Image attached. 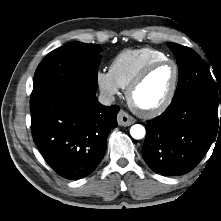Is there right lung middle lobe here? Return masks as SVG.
<instances>
[{
	"label": "right lung middle lobe",
	"mask_w": 221,
	"mask_h": 221,
	"mask_svg": "<svg viewBox=\"0 0 221 221\" xmlns=\"http://www.w3.org/2000/svg\"><path fill=\"white\" fill-rule=\"evenodd\" d=\"M101 50L97 44L73 42L49 53L36 69L30 106L64 83H82L97 89Z\"/></svg>",
	"instance_id": "right-lung-middle-lobe-1"
}]
</instances>
